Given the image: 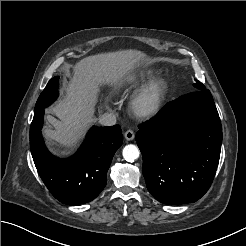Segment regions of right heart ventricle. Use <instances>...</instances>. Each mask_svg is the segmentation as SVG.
<instances>
[{"mask_svg":"<svg viewBox=\"0 0 246 246\" xmlns=\"http://www.w3.org/2000/svg\"><path fill=\"white\" fill-rule=\"evenodd\" d=\"M141 80L140 76H132L124 82V85H134Z\"/></svg>","mask_w":246,"mask_h":246,"instance_id":"1","label":"right heart ventricle"}]
</instances>
